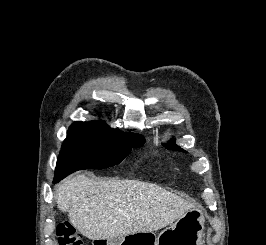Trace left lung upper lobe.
I'll use <instances>...</instances> for the list:
<instances>
[{"mask_svg": "<svg viewBox=\"0 0 266 245\" xmlns=\"http://www.w3.org/2000/svg\"><path fill=\"white\" fill-rule=\"evenodd\" d=\"M169 143H170V145H167V146H166L168 149L177 150V151H182V152H185V153H186L185 150H183V149H181L179 146H176V145H175L174 140L170 141Z\"/></svg>", "mask_w": 266, "mask_h": 245, "instance_id": "5c2ea615", "label": "left lung upper lobe"}]
</instances>
